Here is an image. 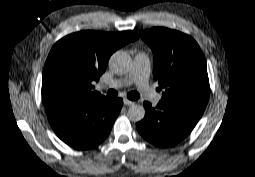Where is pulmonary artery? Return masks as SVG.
<instances>
[{"mask_svg": "<svg viewBox=\"0 0 255 177\" xmlns=\"http://www.w3.org/2000/svg\"><path fill=\"white\" fill-rule=\"evenodd\" d=\"M151 62L147 54L140 52L135 56L130 72L121 79L111 82L113 87H125L129 84H136L139 88L145 89L149 85Z\"/></svg>", "mask_w": 255, "mask_h": 177, "instance_id": "e3ab8cb5", "label": "pulmonary artery"}]
</instances>
